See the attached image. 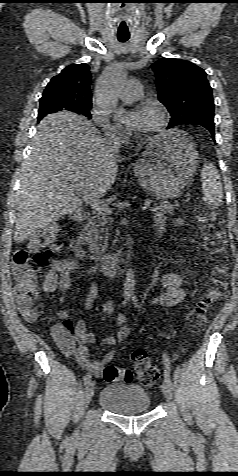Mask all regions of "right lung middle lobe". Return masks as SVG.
I'll return each mask as SVG.
<instances>
[{"label":"right lung middle lobe","instance_id":"1","mask_svg":"<svg viewBox=\"0 0 238 476\" xmlns=\"http://www.w3.org/2000/svg\"><path fill=\"white\" fill-rule=\"evenodd\" d=\"M90 108H86L81 110L80 112H77L79 114H83L86 117H91V114L89 112ZM58 111H65L61 107H59L57 104L51 103V102H40L39 106V114H38V119H42L45 115L58 112Z\"/></svg>","mask_w":238,"mask_h":476}]
</instances>
